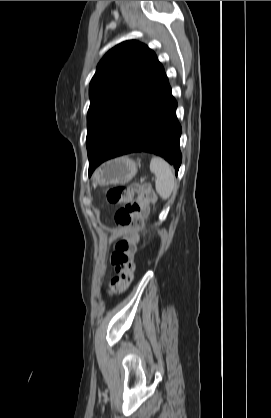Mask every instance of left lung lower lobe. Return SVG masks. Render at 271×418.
Instances as JSON below:
<instances>
[{
	"label": "left lung lower lobe",
	"instance_id": "0a47b994",
	"mask_svg": "<svg viewBox=\"0 0 271 418\" xmlns=\"http://www.w3.org/2000/svg\"><path fill=\"white\" fill-rule=\"evenodd\" d=\"M177 102L163 71L107 138L91 160L89 175L106 160L133 152H148L166 159L175 173L181 165V125Z\"/></svg>",
	"mask_w": 271,
	"mask_h": 418
}]
</instances>
